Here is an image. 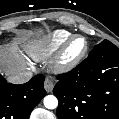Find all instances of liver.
Here are the masks:
<instances>
[{"mask_svg": "<svg viewBox=\"0 0 119 119\" xmlns=\"http://www.w3.org/2000/svg\"><path fill=\"white\" fill-rule=\"evenodd\" d=\"M36 34H41V31ZM21 70H25L23 58L11 46H0V72L8 76Z\"/></svg>", "mask_w": 119, "mask_h": 119, "instance_id": "obj_1", "label": "liver"}]
</instances>
